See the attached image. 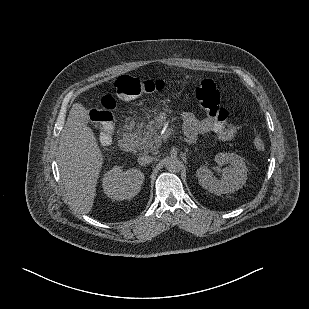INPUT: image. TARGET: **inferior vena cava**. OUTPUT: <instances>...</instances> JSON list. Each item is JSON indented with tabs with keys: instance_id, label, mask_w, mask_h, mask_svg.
Instances as JSON below:
<instances>
[{
	"instance_id": "1",
	"label": "inferior vena cava",
	"mask_w": 309,
	"mask_h": 309,
	"mask_svg": "<svg viewBox=\"0 0 309 309\" xmlns=\"http://www.w3.org/2000/svg\"><path fill=\"white\" fill-rule=\"evenodd\" d=\"M153 161H154V158L152 156H149V155H142V156H139V158H138V163L141 166L148 165V164L152 163Z\"/></svg>"
}]
</instances>
